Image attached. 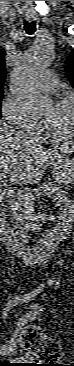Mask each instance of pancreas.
Instances as JSON below:
<instances>
[{"label":"pancreas","instance_id":"1","mask_svg":"<svg viewBox=\"0 0 74 366\" xmlns=\"http://www.w3.org/2000/svg\"><path fill=\"white\" fill-rule=\"evenodd\" d=\"M29 200H23L20 197H9L11 206L15 209L9 229L18 236L23 242L31 239L30 233H36L40 228L37 222V216L34 211L35 201L41 195L48 196L53 200H60L63 203L71 202L68 192L56 186L52 182H44L26 193Z\"/></svg>","mask_w":74,"mask_h":366}]
</instances>
